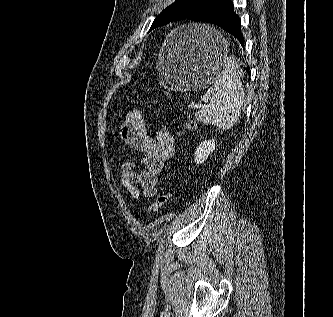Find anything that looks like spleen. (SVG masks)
Here are the masks:
<instances>
[{"label":"spleen","instance_id":"1","mask_svg":"<svg viewBox=\"0 0 333 317\" xmlns=\"http://www.w3.org/2000/svg\"><path fill=\"white\" fill-rule=\"evenodd\" d=\"M197 26L191 25L188 28L193 27L194 30H198ZM208 31L211 41L226 48V41L218 31L210 27ZM240 75L237 61L226 57L214 84L201 98L205 105L195 113V119L198 122L212 124L221 129H229L237 122L245 100Z\"/></svg>","mask_w":333,"mask_h":317}]
</instances>
